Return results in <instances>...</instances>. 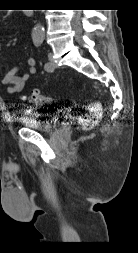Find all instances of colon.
Masks as SVG:
<instances>
[{"label": "colon", "mask_w": 138, "mask_h": 253, "mask_svg": "<svg viewBox=\"0 0 138 253\" xmlns=\"http://www.w3.org/2000/svg\"><path fill=\"white\" fill-rule=\"evenodd\" d=\"M26 100L33 104H49L54 101V99L47 94H43L38 90H34L28 96ZM103 109L99 102H92L85 108V112L81 115V125L84 129H91L95 127L101 117Z\"/></svg>", "instance_id": "obj_1"}]
</instances>
